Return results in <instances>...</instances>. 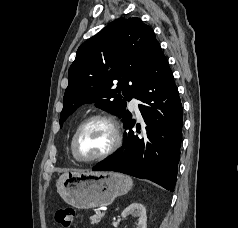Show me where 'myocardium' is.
Segmentation results:
<instances>
[{
	"instance_id": "myocardium-1",
	"label": "myocardium",
	"mask_w": 238,
	"mask_h": 228,
	"mask_svg": "<svg viewBox=\"0 0 238 228\" xmlns=\"http://www.w3.org/2000/svg\"><path fill=\"white\" fill-rule=\"evenodd\" d=\"M93 121H103V122L107 123L112 130L113 140H112L111 145L100 155L92 157V158L84 159V158L79 157L77 154V151H76L77 139H78L79 134L82 131V129L86 125H88L89 123H91ZM121 142H122L121 130H120V126H119L118 122L116 121V119L108 114H105V113H94V114H91L88 117L84 118L77 126V128L73 134L72 140H71V152L73 154V157L78 162L93 163V162H98L103 159H106L107 157L112 155L120 147Z\"/></svg>"
}]
</instances>
